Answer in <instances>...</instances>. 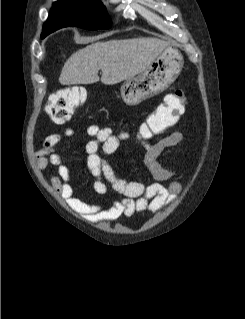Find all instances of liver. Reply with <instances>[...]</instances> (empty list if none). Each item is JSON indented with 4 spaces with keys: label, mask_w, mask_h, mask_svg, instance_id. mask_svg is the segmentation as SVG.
I'll list each match as a JSON object with an SVG mask.
<instances>
[{
    "label": "liver",
    "mask_w": 245,
    "mask_h": 319,
    "mask_svg": "<svg viewBox=\"0 0 245 319\" xmlns=\"http://www.w3.org/2000/svg\"><path fill=\"white\" fill-rule=\"evenodd\" d=\"M169 43L157 38L138 37L97 42L73 53L65 62L59 82L62 85H114L145 70Z\"/></svg>",
    "instance_id": "liver-1"
}]
</instances>
